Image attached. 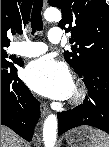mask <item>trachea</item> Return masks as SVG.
Returning a JSON list of instances; mask_svg holds the SVG:
<instances>
[{
  "label": "trachea",
  "mask_w": 109,
  "mask_h": 147,
  "mask_svg": "<svg viewBox=\"0 0 109 147\" xmlns=\"http://www.w3.org/2000/svg\"><path fill=\"white\" fill-rule=\"evenodd\" d=\"M42 4V0H35L33 4V9L31 13L32 35L36 31H41L43 28V21L41 16Z\"/></svg>",
  "instance_id": "trachea-1"
}]
</instances>
